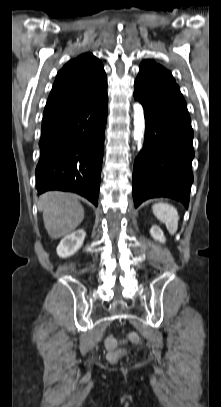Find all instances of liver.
<instances>
[{
	"label": "liver",
	"instance_id": "obj_1",
	"mask_svg": "<svg viewBox=\"0 0 221 407\" xmlns=\"http://www.w3.org/2000/svg\"><path fill=\"white\" fill-rule=\"evenodd\" d=\"M46 231L52 239L61 238L75 230L84 219V208L74 194L47 192L40 197Z\"/></svg>",
	"mask_w": 221,
	"mask_h": 407
}]
</instances>
